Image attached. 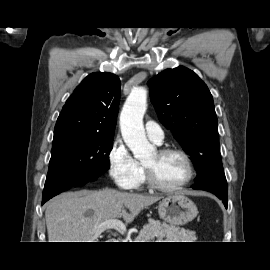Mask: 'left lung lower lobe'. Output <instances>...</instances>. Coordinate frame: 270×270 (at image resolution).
Listing matches in <instances>:
<instances>
[{"label": "left lung lower lobe", "instance_id": "0a47b994", "mask_svg": "<svg viewBox=\"0 0 270 270\" xmlns=\"http://www.w3.org/2000/svg\"><path fill=\"white\" fill-rule=\"evenodd\" d=\"M191 187L193 189L206 190L215 194L219 199L222 200L223 204L227 208L228 186L224 172H215Z\"/></svg>", "mask_w": 270, "mask_h": 270}]
</instances>
